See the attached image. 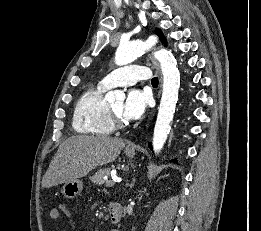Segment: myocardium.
<instances>
[{
  "label": "myocardium",
  "instance_id": "myocardium-1",
  "mask_svg": "<svg viewBox=\"0 0 261 231\" xmlns=\"http://www.w3.org/2000/svg\"><path fill=\"white\" fill-rule=\"evenodd\" d=\"M109 117L114 128L122 129L128 126V122L117 114L111 107L108 105Z\"/></svg>",
  "mask_w": 261,
  "mask_h": 231
}]
</instances>
